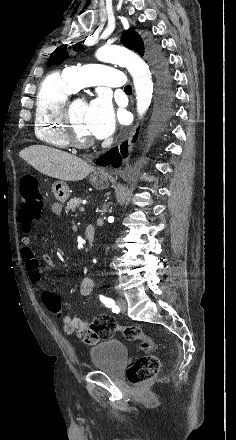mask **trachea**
<instances>
[{"mask_svg":"<svg viewBox=\"0 0 236 440\" xmlns=\"http://www.w3.org/2000/svg\"><path fill=\"white\" fill-rule=\"evenodd\" d=\"M132 90V87L130 86V85H127L126 87H125V91H131Z\"/></svg>","mask_w":236,"mask_h":440,"instance_id":"obj_1","label":"trachea"}]
</instances>
